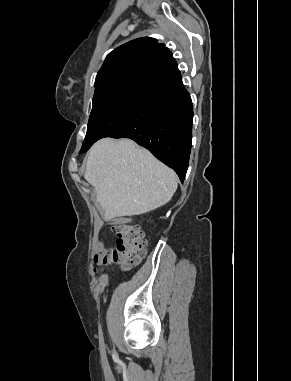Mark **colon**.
<instances>
[{"label": "colon", "instance_id": "obj_1", "mask_svg": "<svg viewBox=\"0 0 291 381\" xmlns=\"http://www.w3.org/2000/svg\"><path fill=\"white\" fill-rule=\"evenodd\" d=\"M111 231L116 237V247L101 248L95 256L100 264L117 263L123 269L141 262L145 254V240L138 225L125 222H114Z\"/></svg>", "mask_w": 291, "mask_h": 381}]
</instances>
